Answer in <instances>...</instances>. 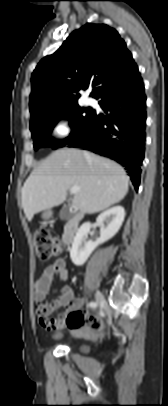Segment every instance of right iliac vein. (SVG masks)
<instances>
[{
  "mask_svg": "<svg viewBox=\"0 0 168 406\" xmlns=\"http://www.w3.org/2000/svg\"><path fill=\"white\" fill-rule=\"evenodd\" d=\"M102 300H103V295H102V293H101L100 291H97V292L95 293V302H96V304H97V305L100 304V303L102 302Z\"/></svg>",
  "mask_w": 168,
  "mask_h": 406,
  "instance_id": "63e3f726",
  "label": "right iliac vein"
}]
</instances>
